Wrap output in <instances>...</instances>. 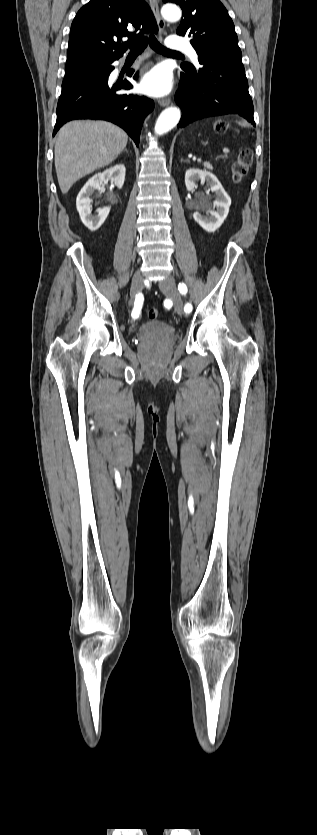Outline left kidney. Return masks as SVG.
Masks as SVG:
<instances>
[{
  "instance_id": "5707ae66",
  "label": "left kidney",
  "mask_w": 317,
  "mask_h": 835,
  "mask_svg": "<svg viewBox=\"0 0 317 835\" xmlns=\"http://www.w3.org/2000/svg\"><path fill=\"white\" fill-rule=\"evenodd\" d=\"M198 182L201 184L206 182V184L210 187V191L215 193L216 199L213 202V205L216 210L208 211L207 213L210 214V216H204L199 211H195L193 213V218L204 230L214 232L222 225L223 221L227 217L229 207L231 205V198L225 192L216 176L211 172L194 168L187 170L185 173V185L187 190L193 191L197 187ZM208 208V205L200 204L197 209Z\"/></svg>"
}]
</instances>
